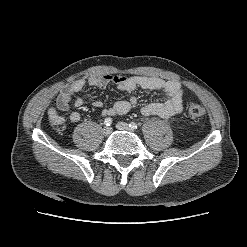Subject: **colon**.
Segmentation results:
<instances>
[{
	"label": "colon",
	"instance_id": "colon-1",
	"mask_svg": "<svg viewBox=\"0 0 247 247\" xmlns=\"http://www.w3.org/2000/svg\"><path fill=\"white\" fill-rule=\"evenodd\" d=\"M205 115V109L199 104H191L188 108V116L194 121L201 120Z\"/></svg>",
	"mask_w": 247,
	"mask_h": 247
}]
</instances>
